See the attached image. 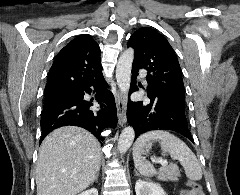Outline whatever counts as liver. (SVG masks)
I'll list each match as a JSON object with an SVG mask.
<instances>
[{
  "mask_svg": "<svg viewBox=\"0 0 240 195\" xmlns=\"http://www.w3.org/2000/svg\"><path fill=\"white\" fill-rule=\"evenodd\" d=\"M100 143L77 125L53 129L40 145L37 195H75L90 185L100 169Z\"/></svg>",
  "mask_w": 240,
  "mask_h": 195,
  "instance_id": "obj_1",
  "label": "liver"
}]
</instances>
